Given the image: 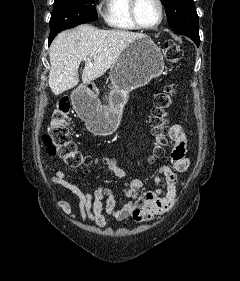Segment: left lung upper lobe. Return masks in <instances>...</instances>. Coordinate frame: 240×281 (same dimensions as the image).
<instances>
[{
	"mask_svg": "<svg viewBox=\"0 0 240 281\" xmlns=\"http://www.w3.org/2000/svg\"><path fill=\"white\" fill-rule=\"evenodd\" d=\"M169 26L187 37L199 35L198 15L193 0H161Z\"/></svg>",
	"mask_w": 240,
	"mask_h": 281,
	"instance_id": "left-lung-upper-lobe-1",
	"label": "left lung upper lobe"
}]
</instances>
